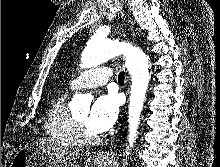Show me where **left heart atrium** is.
I'll return each instance as SVG.
<instances>
[{
    "mask_svg": "<svg viewBox=\"0 0 220 167\" xmlns=\"http://www.w3.org/2000/svg\"><path fill=\"white\" fill-rule=\"evenodd\" d=\"M119 99L114 93L99 96L87 117V126L94 133H103L116 122L119 113Z\"/></svg>",
    "mask_w": 220,
    "mask_h": 167,
    "instance_id": "left-heart-atrium-1",
    "label": "left heart atrium"
}]
</instances>
